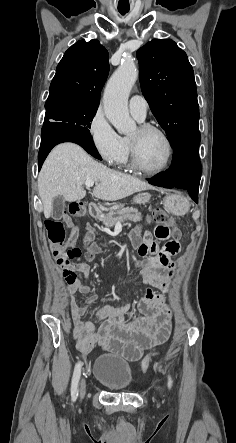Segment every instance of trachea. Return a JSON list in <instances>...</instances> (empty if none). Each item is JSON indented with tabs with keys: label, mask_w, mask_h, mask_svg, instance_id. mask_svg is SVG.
<instances>
[{
	"label": "trachea",
	"mask_w": 236,
	"mask_h": 443,
	"mask_svg": "<svg viewBox=\"0 0 236 443\" xmlns=\"http://www.w3.org/2000/svg\"><path fill=\"white\" fill-rule=\"evenodd\" d=\"M128 11H129V9H119V12H120L122 15H125Z\"/></svg>",
	"instance_id": "trachea-1"
}]
</instances>
